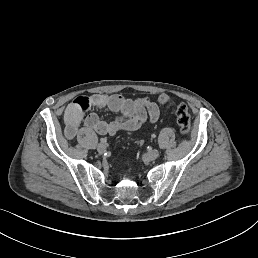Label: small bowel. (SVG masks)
I'll return each mask as SVG.
<instances>
[{"instance_id":"small-bowel-1","label":"small bowel","mask_w":258,"mask_h":258,"mask_svg":"<svg viewBox=\"0 0 258 258\" xmlns=\"http://www.w3.org/2000/svg\"><path fill=\"white\" fill-rule=\"evenodd\" d=\"M106 109L119 116L107 122L95 110ZM160 116L158 105L147 96L135 100L118 94L81 95L71 101L64 110L65 135L73 139L80 125L99 135H114L120 130L136 131L147 121L155 123Z\"/></svg>"}]
</instances>
